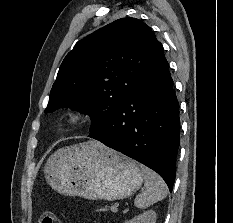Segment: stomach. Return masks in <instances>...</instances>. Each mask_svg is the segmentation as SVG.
<instances>
[{
  "mask_svg": "<svg viewBox=\"0 0 233 223\" xmlns=\"http://www.w3.org/2000/svg\"><path fill=\"white\" fill-rule=\"evenodd\" d=\"M145 167L98 141L66 145L49 157L45 177L58 193L85 199H123L142 185Z\"/></svg>",
  "mask_w": 233,
  "mask_h": 223,
  "instance_id": "stomach-1",
  "label": "stomach"
}]
</instances>
